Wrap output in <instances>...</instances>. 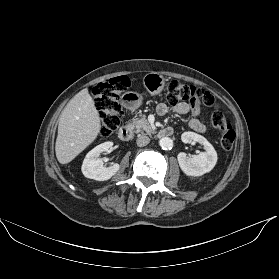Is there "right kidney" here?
<instances>
[{"mask_svg":"<svg viewBox=\"0 0 279 279\" xmlns=\"http://www.w3.org/2000/svg\"><path fill=\"white\" fill-rule=\"evenodd\" d=\"M112 146V142H104L87 153L81 167L85 177L97 181H106L116 174L120 168L119 164L114 163L109 167H104L102 159L99 158L101 153L108 152Z\"/></svg>","mask_w":279,"mask_h":279,"instance_id":"obj_1","label":"right kidney"}]
</instances>
